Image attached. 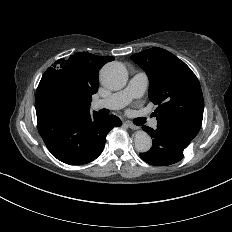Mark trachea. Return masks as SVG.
<instances>
[{
	"label": "trachea",
	"mask_w": 232,
	"mask_h": 232,
	"mask_svg": "<svg viewBox=\"0 0 232 232\" xmlns=\"http://www.w3.org/2000/svg\"><path fill=\"white\" fill-rule=\"evenodd\" d=\"M146 122V118L144 117H138L134 120V124L137 126H141Z\"/></svg>",
	"instance_id": "3493384b"
}]
</instances>
